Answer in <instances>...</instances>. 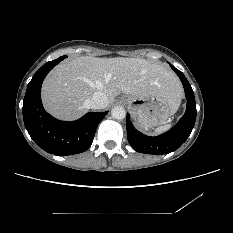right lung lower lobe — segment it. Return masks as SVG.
Here are the masks:
<instances>
[{
  "mask_svg": "<svg viewBox=\"0 0 233 233\" xmlns=\"http://www.w3.org/2000/svg\"><path fill=\"white\" fill-rule=\"evenodd\" d=\"M59 62L49 61L34 74L24 97L23 118L29 135L40 148L57 156H66L85 152L91 146L96 128L107 112H89L77 121L65 122L44 110L42 82Z\"/></svg>",
  "mask_w": 233,
  "mask_h": 233,
  "instance_id": "obj_1",
  "label": "right lung lower lobe"
}]
</instances>
